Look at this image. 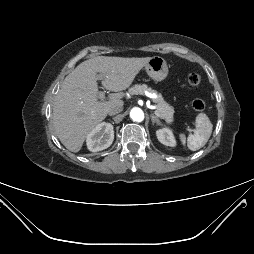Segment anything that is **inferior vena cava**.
I'll use <instances>...</instances> for the list:
<instances>
[{
  "label": "inferior vena cava",
  "instance_id": "1",
  "mask_svg": "<svg viewBox=\"0 0 254 254\" xmlns=\"http://www.w3.org/2000/svg\"><path fill=\"white\" fill-rule=\"evenodd\" d=\"M122 110H123L122 105H114V106L109 108L108 114L113 116V115H116V114L120 113Z\"/></svg>",
  "mask_w": 254,
  "mask_h": 254
}]
</instances>
